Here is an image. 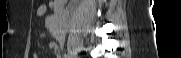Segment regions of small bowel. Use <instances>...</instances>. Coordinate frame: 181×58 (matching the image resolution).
I'll return each mask as SVG.
<instances>
[{
  "instance_id": "obj_1",
  "label": "small bowel",
  "mask_w": 181,
  "mask_h": 58,
  "mask_svg": "<svg viewBox=\"0 0 181 58\" xmlns=\"http://www.w3.org/2000/svg\"><path fill=\"white\" fill-rule=\"evenodd\" d=\"M50 9L56 10L54 3L49 2V3H47V4H43V5H41V6L38 8V14L42 15V14H44L45 12H47L48 10H50ZM49 48H50L52 51H54L56 54H59V47H58V44H57L56 42H51V43L49 44ZM33 57H34V58H37V55H34Z\"/></svg>"
}]
</instances>
